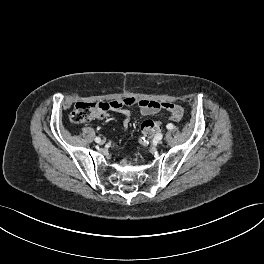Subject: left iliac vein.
<instances>
[{
    "label": "left iliac vein",
    "mask_w": 264,
    "mask_h": 264,
    "mask_svg": "<svg viewBox=\"0 0 264 264\" xmlns=\"http://www.w3.org/2000/svg\"><path fill=\"white\" fill-rule=\"evenodd\" d=\"M158 142H159V145H164V140L160 139Z\"/></svg>",
    "instance_id": "4c4485c4"
}]
</instances>
